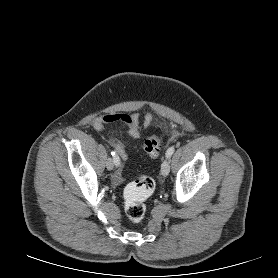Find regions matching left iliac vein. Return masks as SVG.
I'll list each match as a JSON object with an SVG mask.
<instances>
[{"instance_id": "1", "label": "left iliac vein", "mask_w": 278, "mask_h": 278, "mask_svg": "<svg viewBox=\"0 0 278 278\" xmlns=\"http://www.w3.org/2000/svg\"><path fill=\"white\" fill-rule=\"evenodd\" d=\"M170 172V162L169 159H165L161 165V174L167 176Z\"/></svg>"}]
</instances>
